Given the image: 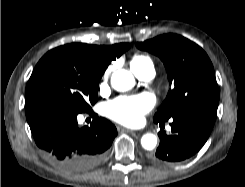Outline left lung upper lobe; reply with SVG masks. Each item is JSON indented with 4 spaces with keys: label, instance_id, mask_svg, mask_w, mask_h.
<instances>
[{
    "label": "left lung upper lobe",
    "instance_id": "obj_1",
    "mask_svg": "<svg viewBox=\"0 0 245 187\" xmlns=\"http://www.w3.org/2000/svg\"><path fill=\"white\" fill-rule=\"evenodd\" d=\"M136 46L159 56L172 85L154 120L166 121L198 110H217L219 90L214 68L200 46L176 34L161 35Z\"/></svg>",
    "mask_w": 245,
    "mask_h": 187
}]
</instances>
